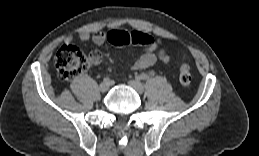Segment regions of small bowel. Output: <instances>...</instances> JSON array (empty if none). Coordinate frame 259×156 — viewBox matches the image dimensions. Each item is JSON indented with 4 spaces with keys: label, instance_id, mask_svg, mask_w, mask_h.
I'll return each mask as SVG.
<instances>
[{
    "label": "small bowel",
    "instance_id": "small-bowel-1",
    "mask_svg": "<svg viewBox=\"0 0 259 156\" xmlns=\"http://www.w3.org/2000/svg\"><path fill=\"white\" fill-rule=\"evenodd\" d=\"M109 33V32H108ZM108 33L104 31H98L94 34H89L87 32H82L77 36V39L81 42H87L92 40L96 45H103L106 40H108ZM71 41L73 38L70 39ZM162 45V40L157 39L148 45L140 57L132 64V69L141 70L153 66L158 60L167 63L169 61V55L165 48H160ZM103 54L99 50H95L90 54V61L93 64H98L103 60Z\"/></svg>",
    "mask_w": 259,
    "mask_h": 156
}]
</instances>
